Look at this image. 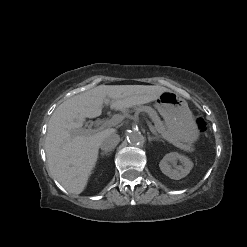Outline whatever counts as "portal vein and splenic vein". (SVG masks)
Wrapping results in <instances>:
<instances>
[{
    "mask_svg": "<svg viewBox=\"0 0 247 247\" xmlns=\"http://www.w3.org/2000/svg\"><path fill=\"white\" fill-rule=\"evenodd\" d=\"M122 120H123V117L122 116L116 115L112 119H110L109 121L105 122L103 125L104 126L116 125V124L120 123ZM146 122H147V125H148L150 131L153 134H156V130H155L154 126L151 124V122L148 121V120Z\"/></svg>",
    "mask_w": 247,
    "mask_h": 247,
    "instance_id": "18ae733b",
    "label": "portal vein and splenic vein"
}]
</instances>
